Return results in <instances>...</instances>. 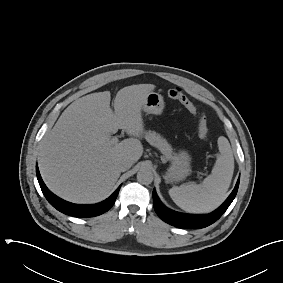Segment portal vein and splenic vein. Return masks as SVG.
Here are the masks:
<instances>
[{"instance_id":"obj_1","label":"portal vein and splenic vein","mask_w":283,"mask_h":283,"mask_svg":"<svg viewBox=\"0 0 283 283\" xmlns=\"http://www.w3.org/2000/svg\"><path fill=\"white\" fill-rule=\"evenodd\" d=\"M111 141H112L113 144H116L118 142V138L117 137H113L111 139Z\"/></svg>"}]
</instances>
